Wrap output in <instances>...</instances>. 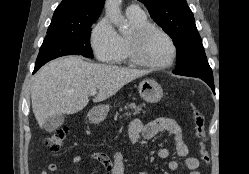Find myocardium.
Segmentation results:
<instances>
[{
	"instance_id": "1",
	"label": "myocardium",
	"mask_w": 249,
	"mask_h": 174,
	"mask_svg": "<svg viewBox=\"0 0 249 174\" xmlns=\"http://www.w3.org/2000/svg\"><path fill=\"white\" fill-rule=\"evenodd\" d=\"M152 33L161 34L171 44L172 56H171L170 60L167 61L166 63H162V64L151 63V62L147 61L146 59H144L142 56L143 45H144L147 37L149 35H151ZM127 52H128L130 60L134 64L141 66V67L158 70V69L168 68L175 62V60L177 58L178 49H177V45H176L174 39L171 37V35L168 32H166L164 29H162L158 26L148 24L146 26H143V27L133 31L129 35L128 41H127Z\"/></svg>"
}]
</instances>
